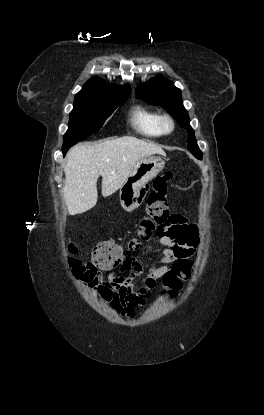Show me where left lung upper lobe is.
I'll list each match as a JSON object with an SVG mask.
<instances>
[{"mask_svg":"<svg viewBox=\"0 0 264 415\" xmlns=\"http://www.w3.org/2000/svg\"><path fill=\"white\" fill-rule=\"evenodd\" d=\"M136 97L150 104L161 105L166 108L173 118L186 128L188 132L187 148L197 159L202 158V152L197 145L194 131L189 124L188 113L183 107L180 89L176 88L170 80L160 75L137 87Z\"/></svg>","mask_w":264,"mask_h":415,"instance_id":"5c2ea615","label":"left lung upper lobe"}]
</instances>
